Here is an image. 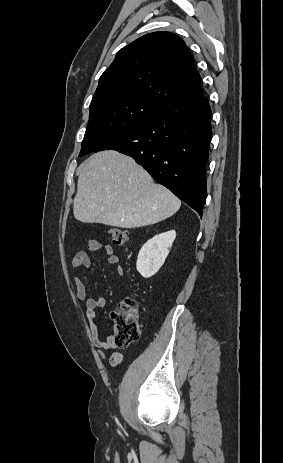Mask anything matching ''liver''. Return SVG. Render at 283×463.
I'll return each mask as SVG.
<instances>
[{"mask_svg":"<svg viewBox=\"0 0 283 463\" xmlns=\"http://www.w3.org/2000/svg\"><path fill=\"white\" fill-rule=\"evenodd\" d=\"M181 201L156 184L131 157L117 151L95 153L79 167L74 217L84 223L138 228L175 214Z\"/></svg>","mask_w":283,"mask_h":463,"instance_id":"liver-1","label":"liver"}]
</instances>
